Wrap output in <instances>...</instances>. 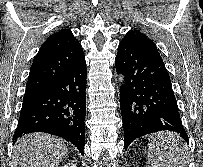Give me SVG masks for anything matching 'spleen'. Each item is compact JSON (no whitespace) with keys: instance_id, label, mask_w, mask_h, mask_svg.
I'll return each instance as SVG.
<instances>
[{"instance_id":"1","label":"spleen","mask_w":203,"mask_h":167,"mask_svg":"<svg viewBox=\"0 0 203 167\" xmlns=\"http://www.w3.org/2000/svg\"><path fill=\"white\" fill-rule=\"evenodd\" d=\"M188 149L176 134H164L160 139L150 137L148 143V167H185Z\"/></svg>"}]
</instances>
